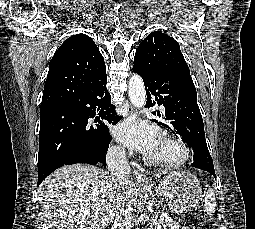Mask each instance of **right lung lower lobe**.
I'll return each mask as SVG.
<instances>
[{
    "label": "right lung lower lobe",
    "mask_w": 255,
    "mask_h": 229,
    "mask_svg": "<svg viewBox=\"0 0 255 229\" xmlns=\"http://www.w3.org/2000/svg\"><path fill=\"white\" fill-rule=\"evenodd\" d=\"M106 83L105 70L94 78L86 91L73 102L40 111L41 122L57 116L75 114L84 120L87 129L73 145L69 155L62 163L50 168L38 164V185L50 173L63 165L74 163L103 165L106 163V152L111 141L107 125H115L120 119L115 116L114 106L111 104V97L106 89ZM96 113L100 114L102 120L94 125H89L88 119L94 118Z\"/></svg>",
    "instance_id": "1"
}]
</instances>
